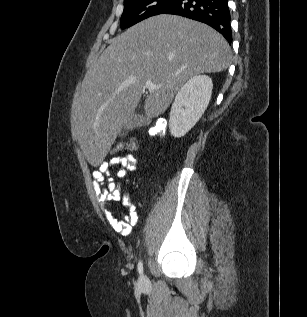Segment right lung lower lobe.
<instances>
[{
  "instance_id": "98d812e1",
  "label": "right lung lower lobe",
  "mask_w": 307,
  "mask_h": 317,
  "mask_svg": "<svg viewBox=\"0 0 307 317\" xmlns=\"http://www.w3.org/2000/svg\"><path fill=\"white\" fill-rule=\"evenodd\" d=\"M162 14H174L197 20L211 26L231 43L228 0H174Z\"/></svg>"
}]
</instances>
